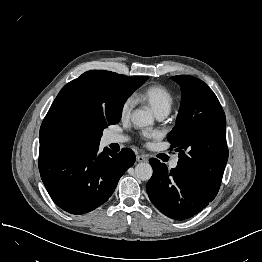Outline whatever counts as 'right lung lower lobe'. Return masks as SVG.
Here are the masks:
<instances>
[{"label":"right lung lower lobe","instance_id":"right-lung-lower-lobe-1","mask_svg":"<svg viewBox=\"0 0 262 262\" xmlns=\"http://www.w3.org/2000/svg\"><path fill=\"white\" fill-rule=\"evenodd\" d=\"M87 143L40 146L39 171L52 200L72 214H84L105 203L120 177L135 162L129 148L116 153Z\"/></svg>","mask_w":262,"mask_h":262}]
</instances>
